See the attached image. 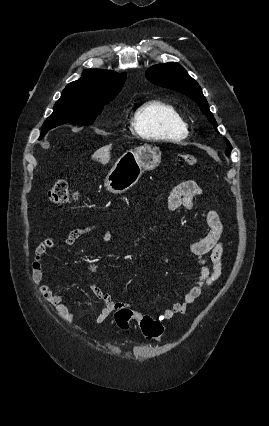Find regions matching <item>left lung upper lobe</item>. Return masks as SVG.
<instances>
[{"instance_id":"left-lung-upper-lobe-1","label":"left lung upper lobe","mask_w":269,"mask_h":426,"mask_svg":"<svg viewBox=\"0 0 269 426\" xmlns=\"http://www.w3.org/2000/svg\"><path fill=\"white\" fill-rule=\"evenodd\" d=\"M146 78L153 84L181 92L194 100L217 131L216 120L209 110L208 102L201 87L181 65L175 62L155 65L146 71ZM226 142L228 148L225 153L230 155L232 146L228 140Z\"/></svg>"}]
</instances>
